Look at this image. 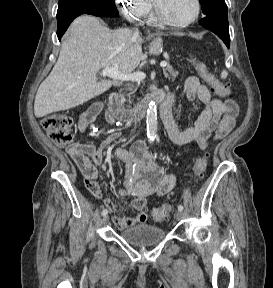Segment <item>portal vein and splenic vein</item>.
Masks as SVG:
<instances>
[{
  "label": "portal vein and splenic vein",
  "instance_id": "obj_1",
  "mask_svg": "<svg viewBox=\"0 0 273 288\" xmlns=\"http://www.w3.org/2000/svg\"><path fill=\"white\" fill-rule=\"evenodd\" d=\"M166 65L167 63L165 61L160 63L161 67H165ZM101 75L103 77H110L115 80L137 81V82L142 81L146 77L145 73L143 72H133L127 74L121 73L116 65L110 68L103 69Z\"/></svg>",
  "mask_w": 273,
  "mask_h": 288
}]
</instances>
